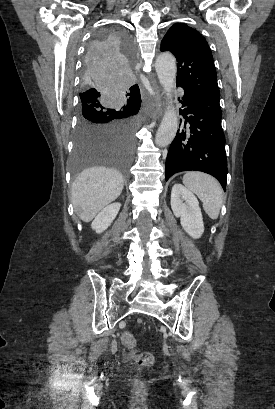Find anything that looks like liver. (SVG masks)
<instances>
[{"label":"liver","mask_w":275,"mask_h":409,"mask_svg":"<svg viewBox=\"0 0 275 409\" xmlns=\"http://www.w3.org/2000/svg\"><path fill=\"white\" fill-rule=\"evenodd\" d=\"M124 186L123 174L116 168L91 166L79 172L72 184L74 209H80L82 221L89 223L109 202L115 200Z\"/></svg>","instance_id":"1"}]
</instances>
